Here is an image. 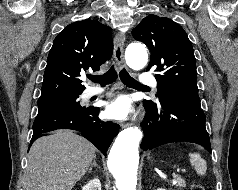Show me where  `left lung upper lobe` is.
I'll list each match as a JSON object with an SVG mask.
<instances>
[{
  "label": "left lung upper lobe",
  "instance_id": "1",
  "mask_svg": "<svg viewBox=\"0 0 238 190\" xmlns=\"http://www.w3.org/2000/svg\"><path fill=\"white\" fill-rule=\"evenodd\" d=\"M132 35L151 51L147 70L156 66L159 72L156 74L159 101L165 96L178 95L199 98L193 47L179 24L148 15L133 29Z\"/></svg>",
  "mask_w": 238,
  "mask_h": 190
}]
</instances>
